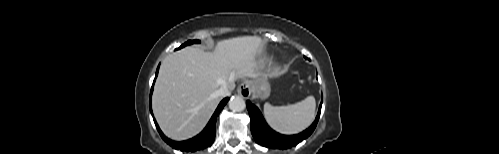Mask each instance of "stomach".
Instances as JSON below:
<instances>
[{
	"mask_svg": "<svg viewBox=\"0 0 499 154\" xmlns=\"http://www.w3.org/2000/svg\"><path fill=\"white\" fill-rule=\"evenodd\" d=\"M250 87L253 94L256 97L265 99L270 95V84L268 82L266 75H264L261 78L250 81Z\"/></svg>",
	"mask_w": 499,
	"mask_h": 154,
	"instance_id": "0dacf381",
	"label": "stomach"
}]
</instances>
